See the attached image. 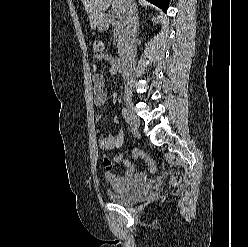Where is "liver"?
<instances>
[{
	"label": "liver",
	"instance_id": "liver-1",
	"mask_svg": "<svg viewBox=\"0 0 248 247\" xmlns=\"http://www.w3.org/2000/svg\"><path fill=\"white\" fill-rule=\"evenodd\" d=\"M89 16L91 28H96L98 21L104 17V12L112 6L124 14V0H81Z\"/></svg>",
	"mask_w": 248,
	"mask_h": 247
}]
</instances>
